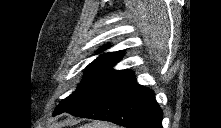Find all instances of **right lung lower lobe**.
I'll return each instance as SVG.
<instances>
[{
	"mask_svg": "<svg viewBox=\"0 0 221 128\" xmlns=\"http://www.w3.org/2000/svg\"><path fill=\"white\" fill-rule=\"evenodd\" d=\"M68 113L110 121L127 128H162L163 112L154 92L139 85L134 75L101 98Z\"/></svg>",
	"mask_w": 221,
	"mask_h": 128,
	"instance_id": "1",
	"label": "right lung lower lobe"
}]
</instances>
